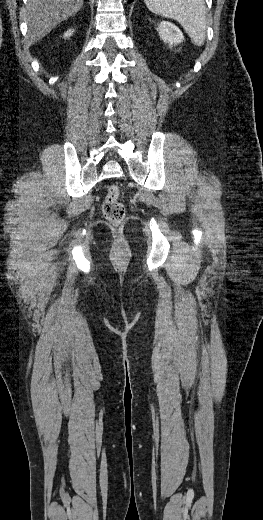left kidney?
I'll list each match as a JSON object with an SVG mask.
<instances>
[{"mask_svg":"<svg viewBox=\"0 0 263 520\" xmlns=\"http://www.w3.org/2000/svg\"><path fill=\"white\" fill-rule=\"evenodd\" d=\"M160 38L171 46L177 45L184 40L180 29L170 22L163 21L157 28Z\"/></svg>","mask_w":263,"mask_h":520,"instance_id":"left-kidney-1","label":"left kidney"}]
</instances>
